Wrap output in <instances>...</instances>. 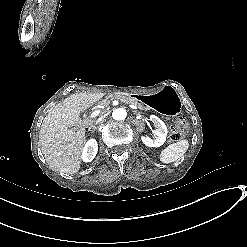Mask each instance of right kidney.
<instances>
[{
    "instance_id": "obj_1",
    "label": "right kidney",
    "mask_w": 247,
    "mask_h": 247,
    "mask_svg": "<svg viewBox=\"0 0 247 247\" xmlns=\"http://www.w3.org/2000/svg\"><path fill=\"white\" fill-rule=\"evenodd\" d=\"M97 151H98L97 141L93 138L89 139L83 148L81 155L82 160L84 162H91L95 158Z\"/></svg>"
}]
</instances>
